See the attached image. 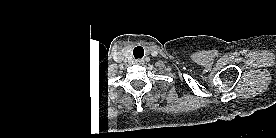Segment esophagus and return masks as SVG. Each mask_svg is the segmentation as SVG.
Instances as JSON below:
<instances>
[{
  "label": "esophagus",
  "instance_id": "obj_1",
  "mask_svg": "<svg viewBox=\"0 0 276 138\" xmlns=\"http://www.w3.org/2000/svg\"><path fill=\"white\" fill-rule=\"evenodd\" d=\"M137 64H144V60H136Z\"/></svg>",
  "mask_w": 276,
  "mask_h": 138
}]
</instances>
